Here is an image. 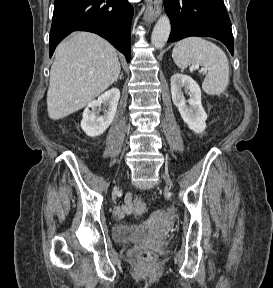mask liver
Listing matches in <instances>:
<instances>
[{
  "mask_svg": "<svg viewBox=\"0 0 273 288\" xmlns=\"http://www.w3.org/2000/svg\"><path fill=\"white\" fill-rule=\"evenodd\" d=\"M116 49L102 37L77 32L58 45L50 70L48 116L59 120L84 108L117 81Z\"/></svg>",
  "mask_w": 273,
  "mask_h": 288,
  "instance_id": "liver-1",
  "label": "liver"
}]
</instances>
